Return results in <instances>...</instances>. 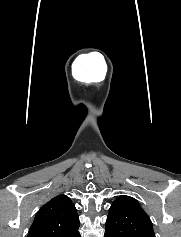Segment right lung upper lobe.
I'll return each mask as SVG.
<instances>
[{
	"label": "right lung upper lobe",
	"mask_w": 181,
	"mask_h": 237,
	"mask_svg": "<svg viewBox=\"0 0 181 237\" xmlns=\"http://www.w3.org/2000/svg\"><path fill=\"white\" fill-rule=\"evenodd\" d=\"M79 218L69 197L58 195L35 216L28 237H78Z\"/></svg>",
	"instance_id": "right-lung-upper-lobe-1"
}]
</instances>
